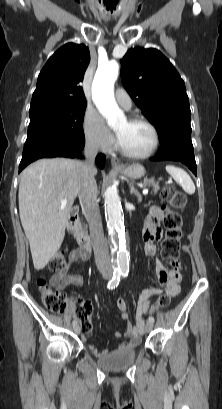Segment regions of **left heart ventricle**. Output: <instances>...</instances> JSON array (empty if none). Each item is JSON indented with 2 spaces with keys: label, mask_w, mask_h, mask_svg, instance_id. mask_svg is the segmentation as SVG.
Wrapping results in <instances>:
<instances>
[{
  "label": "left heart ventricle",
  "mask_w": 222,
  "mask_h": 409,
  "mask_svg": "<svg viewBox=\"0 0 222 409\" xmlns=\"http://www.w3.org/2000/svg\"><path fill=\"white\" fill-rule=\"evenodd\" d=\"M119 144L131 153H144L153 143L149 127L141 123H131L127 119L114 126Z\"/></svg>",
  "instance_id": "1"
}]
</instances>
